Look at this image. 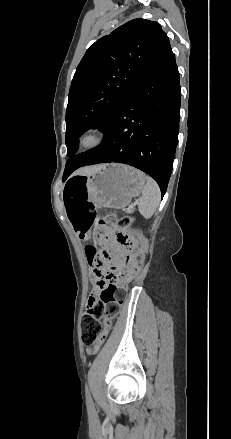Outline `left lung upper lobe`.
<instances>
[{"instance_id":"1","label":"left lung upper lobe","mask_w":231,"mask_h":439,"mask_svg":"<svg viewBox=\"0 0 231 439\" xmlns=\"http://www.w3.org/2000/svg\"><path fill=\"white\" fill-rule=\"evenodd\" d=\"M171 51L159 23L134 19L93 43L74 74L66 109L70 159L79 137L91 128L105 130L132 88ZM69 169L64 171L67 178Z\"/></svg>"}]
</instances>
